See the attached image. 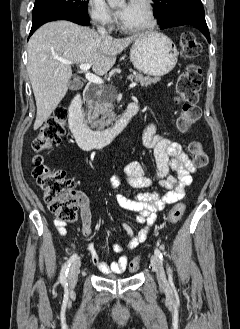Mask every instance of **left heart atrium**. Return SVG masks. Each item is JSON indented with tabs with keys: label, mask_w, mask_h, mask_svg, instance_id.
<instances>
[{
	"label": "left heart atrium",
	"mask_w": 240,
	"mask_h": 329,
	"mask_svg": "<svg viewBox=\"0 0 240 329\" xmlns=\"http://www.w3.org/2000/svg\"><path fill=\"white\" fill-rule=\"evenodd\" d=\"M131 1H128L126 3H124L118 10H117V15L123 19L124 17H126V15L128 14L129 12V9H130V5H131Z\"/></svg>",
	"instance_id": "left-heart-atrium-1"
}]
</instances>
